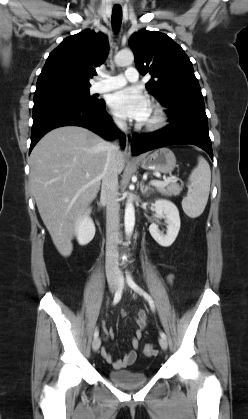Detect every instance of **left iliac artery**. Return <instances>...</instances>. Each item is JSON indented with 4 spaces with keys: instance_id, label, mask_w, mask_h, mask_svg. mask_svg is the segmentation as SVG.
Segmentation results:
<instances>
[{
    "instance_id": "1",
    "label": "left iliac artery",
    "mask_w": 248,
    "mask_h": 419,
    "mask_svg": "<svg viewBox=\"0 0 248 419\" xmlns=\"http://www.w3.org/2000/svg\"><path fill=\"white\" fill-rule=\"evenodd\" d=\"M127 283L134 291H136L137 293L142 295L148 301L151 309L154 310L155 305H154V301L152 300L151 296L134 282L133 278L131 277V275L129 273L127 274ZM160 336L163 337V338H166L165 333L162 332V331H160Z\"/></svg>"
}]
</instances>
